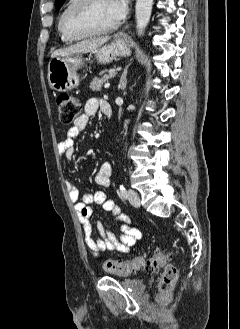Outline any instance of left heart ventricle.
<instances>
[{
    "label": "left heart ventricle",
    "instance_id": "b2bd125f",
    "mask_svg": "<svg viewBox=\"0 0 240 329\" xmlns=\"http://www.w3.org/2000/svg\"><path fill=\"white\" fill-rule=\"evenodd\" d=\"M116 22L110 11L108 0H95L88 8L71 19V27L75 31L82 32L105 28Z\"/></svg>",
    "mask_w": 240,
    "mask_h": 329
}]
</instances>
